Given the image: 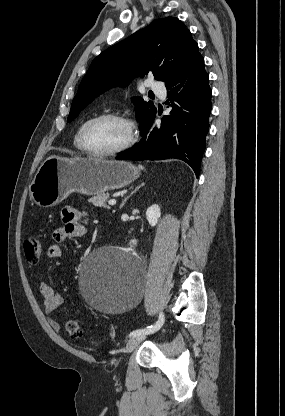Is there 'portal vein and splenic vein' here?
<instances>
[{"label": "portal vein and splenic vein", "instance_id": "obj_1", "mask_svg": "<svg viewBox=\"0 0 285 416\" xmlns=\"http://www.w3.org/2000/svg\"><path fill=\"white\" fill-rule=\"evenodd\" d=\"M108 204L109 206H115L116 200H109Z\"/></svg>", "mask_w": 285, "mask_h": 416}]
</instances>
